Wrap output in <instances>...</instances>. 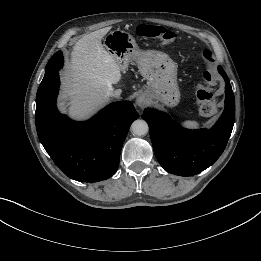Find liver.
<instances>
[{
  "mask_svg": "<svg viewBox=\"0 0 261 261\" xmlns=\"http://www.w3.org/2000/svg\"><path fill=\"white\" fill-rule=\"evenodd\" d=\"M106 33L107 29H100L85 35L71 53L62 103L74 119H86L106 104L113 84L121 80L120 66L101 43Z\"/></svg>",
  "mask_w": 261,
  "mask_h": 261,
  "instance_id": "6515ba94",
  "label": "liver"
}]
</instances>
